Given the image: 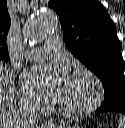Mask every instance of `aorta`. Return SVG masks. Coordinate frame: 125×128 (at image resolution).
Segmentation results:
<instances>
[{"mask_svg":"<svg viewBox=\"0 0 125 128\" xmlns=\"http://www.w3.org/2000/svg\"><path fill=\"white\" fill-rule=\"evenodd\" d=\"M56 14L47 9L29 19L24 26V37L31 42L41 41L57 26Z\"/></svg>","mask_w":125,"mask_h":128,"instance_id":"aorta-1","label":"aorta"}]
</instances>
